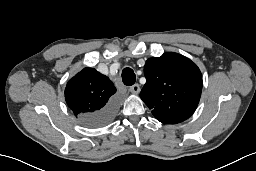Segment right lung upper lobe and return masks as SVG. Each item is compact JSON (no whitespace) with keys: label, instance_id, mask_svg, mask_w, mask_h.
Returning a JSON list of instances; mask_svg holds the SVG:
<instances>
[{"label":"right lung upper lobe","instance_id":"cb5924a9","mask_svg":"<svg viewBox=\"0 0 256 171\" xmlns=\"http://www.w3.org/2000/svg\"><path fill=\"white\" fill-rule=\"evenodd\" d=\"M115 92L116 88L107 76L94 68H84L67 83L65 100L74 115L84 120L114 100Z\"/></svg>","mask_w":256,"mask_h":171}]
</instances>
